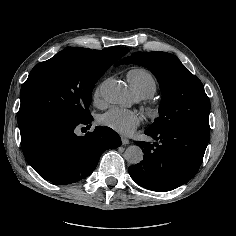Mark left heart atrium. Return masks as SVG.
<instances>
[{
    "mask_svg": "<svg viewBox=\"0 0 236 236\" xmlns=\"http://www.w3.org/2000/svg\"><path fill=\"white\" fill-rule=\"evenodd\" d=\"M99 122L115 132L129 136L143 122V117L136 111L114 107L100 116Z\"/></svg>",
    "mask_w": 236,
    "mask_h": 236,
    "instance_id": "39dd6f15",
    "label": "left heart atrium"
}]
</instances>
